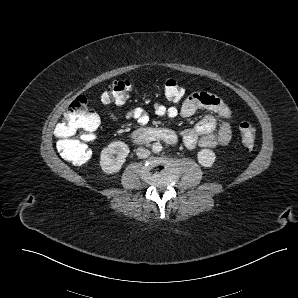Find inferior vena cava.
I'll use <instances>...</instances> for the list:
<instances>
[{
	"label": "inferior vena cava",
	"mask_w": 298,
	"mask_h": 298,
	"mask_svg": "<svg viewBox=\"0 0 298 298\" xmlns=\"http://www.w3.org/2000/svg\"><path fill=\"white\" fill-rule=\"evenodd\" d=\"M136 155H137V157L144 159L150 155V151L144 147H138L136 149Z\"/></svg>",
	"instance_id": "inferior-vena-cava-1"
}]
</instances>
